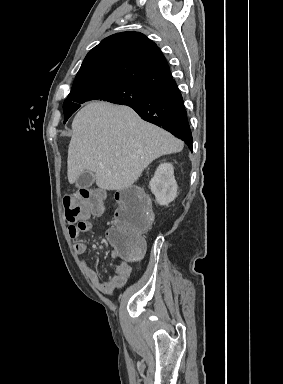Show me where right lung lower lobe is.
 <instances>
[{"instance_id":"right-lung-lower-lobe-1","label":"right lung lower lobe","mask_w":283,"mask_h":384,"mask_svg":"<svg viewBox=\"0 0 283 384\" xmlns=\"http://www.w3.org/2000/svg\"><path fill=\"white\" fill-rule=\"evenodd\" d=\"M138 115L183 140L192 151V134L182 95L175 80L169 79L156 88L143 101L125 104Z\"/></svg>"}]
</instances>
